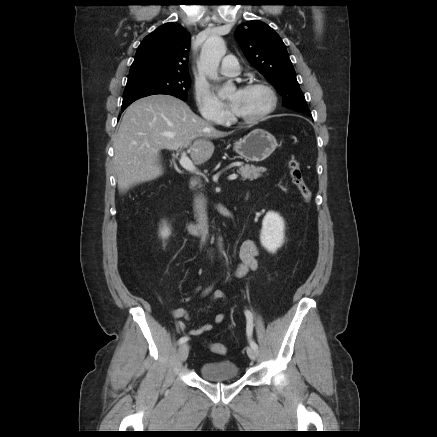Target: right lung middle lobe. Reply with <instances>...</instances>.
Returning a JSON list of instances; mask_svg holds the SVG:
<instances>
[{"instance_id": "obj_1", "label": "right lung middle lobe", "mask_w": 437, "mask_h": 437, "mask_svg": "<svg viewBox=\"0 0 437 437\" xmlns=\"http://www.w3.org/2000/svg\"><path fill=\"white\" fill-rule=\"evenodd\" d=\"M190 85L189 75L147 70L129 72L122 107L129 106L139 98L155 94L172 95L185 101Z\"/></svg>"}]
</instances>
